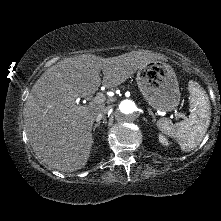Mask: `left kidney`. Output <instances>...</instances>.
Listing matches in <instances>:
<instances>
[{"mask_svg": "<svg viewBox=\"0 0 221 221\" xmlns=\"http://www.w3.org/2000/svg\"><path fill=\"white\" fill-rule=\"evenodd\" d=\"M158 139H159V142H160L162 145H165V146H168V145H169V141H168V139H167L164 135L159 134Z\"/></svg>", "mask_w": 221, "mask_h": 221, "instance_id": "left-kidney-1", "label": "left kidney"}]
</instances>
